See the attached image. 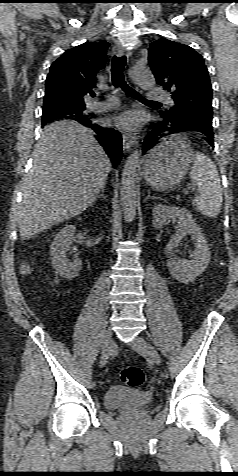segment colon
<instances>
[{"label":"colon","mask_w":238,"mask_h":476,"mask_svg":"<svg viewBox=\"0 0 238 476\" xmlns=\"http://www.w3.org/2000/svg\"><path fill=\"white\" fill-rule=\"evenodd\" d=\"M120 379L127 386L138 387L144 382V372L138 366H128L121 371Z\"/></svg>","instance_id":"colon-1"}]
</instances>
